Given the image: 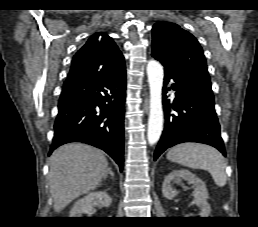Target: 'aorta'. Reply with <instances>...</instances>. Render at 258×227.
Listing matches in <instances>:
<instances>
[{"label": "aorta", "mask_w": 258, "mask_h": 227, "mask_svg": "<svg viewBox=\"0 0 258 227\" xmlns=\"http://www.w3.org/2000/svg\"><path fill=\"white\" fill-rule=\"evenodd\" d=\"M163 67L155 60L147 64V76L150 89V113L148 119L147 139L149 144H155L162 133L163 108H162V85Z\"/></svg>", "instance_id": "1"}]
</instances>
